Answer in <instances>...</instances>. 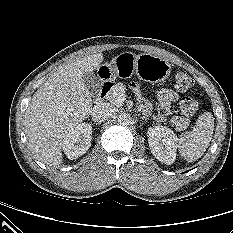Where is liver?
I'll list each match as a JSON object with an SVG mask.
<instances>
[{
    "label": "liver",
    "instance_id": "obj_1",
    "mask_svg": "<svg viewBox=\"0 0 233 233\" xmlns=\"http://www.w3.org/2000/svg\"><path fill=\"white\" fill-rule=\"evenodd\" d=\"M102 61L103 54L96 53L60 66L32 97L25 128L31 150L45 164L62 163L65 135L92 112V96L83 77Z\"/></svg>",
    "mask_w": 233,
    "mask_h": 233
}]
</instances>
